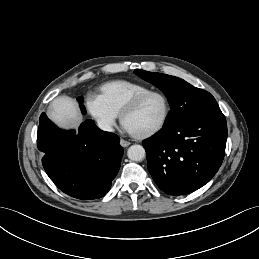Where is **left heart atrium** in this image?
I'll return each instance as SVG.
<instances>
[{
  "instance_id": "39dd6f15",
  "label": "left heart atrium",
  "mask_w": 259,
  "mask_h": 259,
  "mask_svg": "<svg viewBox=\"0 0 259 259\" xmlns=\"http://www.w3.org/2000/svg\"><path fill=\"white\" fill-rule=\"evenodd\" d=\"M123 128H124V130H125L126 132H128V133H130V134H134V133L132 132V130H131L130 128H128L126 125H123Z\"/></svg>"
}]
</instances>
